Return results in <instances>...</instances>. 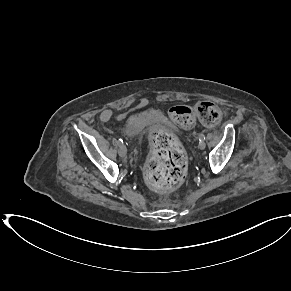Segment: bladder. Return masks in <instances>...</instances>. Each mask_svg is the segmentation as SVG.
Wrapping results in <instances>:
<instances>
[{"label":"bladder","mask_w":291,"mask_h":291,"mask_svg":"<svg viewBox=\"0 0 291 291\" xmlns=\"http://www.w3.org/2000/svg\"><path fill=\"white\" fill-rule=\"evenodd\" d=\"M150 126L146 116H131L125 120L124 131L129 136H141Z\"/></svg>","instance_id":"31cf9c89"}]
</instances>
